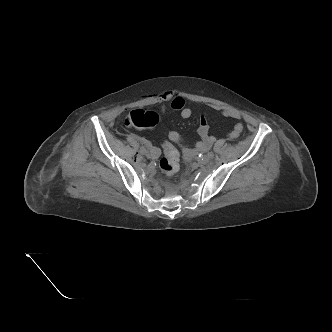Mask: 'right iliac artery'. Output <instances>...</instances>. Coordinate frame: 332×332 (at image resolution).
Wrapping results in <instances>:
<instances>
[{
	"instance_id": "82829eb1",
	"label": "right iliac artery",
	"mask_w": 332,
	"mask_h": 332,
	"mask_svg": "<svg viewBox=\"0 0 332 332\" xmlns=\"http://www.w3.org/2000/svg\"><path fill=\"white\" fill-rule=\"evenodd\" d=\"M140 144H141L142 147H147L148 148V144H147L146 141L143 140V141H141Z\"/></svg>"
}]
</instances>
